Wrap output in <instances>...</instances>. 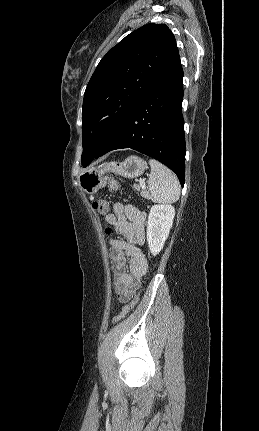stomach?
<instances>
[{"label":"stomach","mask_w":259,"mask_h":431,"mask_svg":"<svg viewBox=\"0 0 259 431\" xmlns=\"http://www.w3.org/2000/svg\"><path fill=\"white\" fill-rule=\"evenodd\" d=\"M146 166V162L142 158L131 155L122 162H110L100 168L82 172L78 178L79 186L84 192L92 195L106 185L107 173L111 172L133 179L142 175Z\"/></svg>","instance_id":"0dacf381"}]
</instances>
